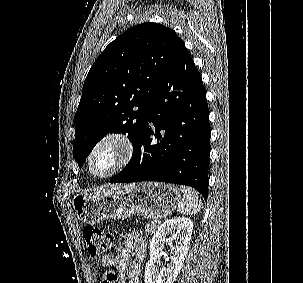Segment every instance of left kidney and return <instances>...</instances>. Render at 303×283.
Instances as JSON below:
<instances>
[{"label":"left kidney","mask_w":303,"mask_h":283,"mask_svg":"<svg viewBox=\"0 0 303 283\" xmlns=\"http://www.w3.org/2000/svg\"><path fill=\"white\" fill-rule=\"evenodd\" d=\"M192 231V221L184 217L166 220L160 225L150 242V259L145 266V283H174L187 255ZM169 232L173 233V239L177 241L170 251L166 266L159 273L157 270L160 264V253Z\"/></svg>","instance_id":"obj_1"}]
</instances>
